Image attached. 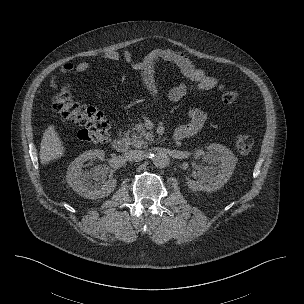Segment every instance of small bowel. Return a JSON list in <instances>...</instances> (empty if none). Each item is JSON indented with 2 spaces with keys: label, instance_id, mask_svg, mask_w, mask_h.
Segmentation results:
<instances>
[{
  "label": "small bowel",
  "instance_id": "small-bowel-1",
  "mask_svg": "<svg viewBox=\"0 0 304 304\" xmlns=\"http://www.w3.org/2000/svg\"><path fill=\"white\" fill-rule=\"evenodd\" d=\"M102 58L109 61H120L123 59L144 75L151 74L160 62L173 64L187 81V84H179L169 91V99L175 102L184 98L188 89L207 91L213 89L218 83L217 78L209 76L203 69L197 68L185 54L171 49H154L147 53L142 60H138L128 51H125L123 54L117 51H109L104 53ZM90 67V62L83 61L75 66L73 64H66L61 69V72L74 71L81 73L87 71ZM51 86L52 88L57 86L54 80ZM188 116L190 121L177 129L184 135V138L191 137L199 132L207 120L206 112L200 108H190Z\"/></svg>",
  "mask_w": 304,
  "mask_h": 304
}]
</instances>
